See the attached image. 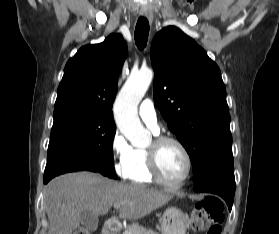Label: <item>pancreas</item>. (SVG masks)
Listing matches in <instances>:
<instances>
[{
    "mask_svg": "<svg viewBox=\"0 0 279 234\" xmlns=\"http://www.w3.org/2000/svg\"><path fill=\"white\" fill-rule=\"evenodd\" d=\"M122 234H157L153 231H148L144 227L139 225H130Z\"/></svg>",
    "mask_w": 279,
    "mask_h": 234,
    "instance_id": "1",
    "label": "pancreas"
}]
</instances>
